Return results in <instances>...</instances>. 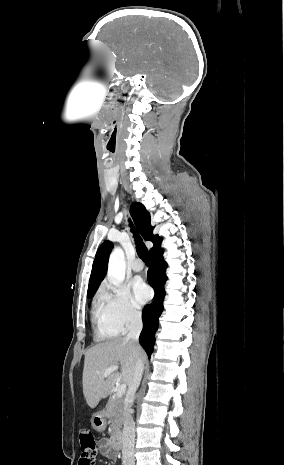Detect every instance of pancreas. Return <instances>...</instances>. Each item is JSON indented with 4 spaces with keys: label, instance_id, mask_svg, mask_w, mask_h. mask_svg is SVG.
<instances>
[{
    "label": "pancreas",
    "instance_id": "1",
    "mask_svg": "<svg viewBox=\"0 0 284 465\" xmlns=\"http://www.w3.org/2000/svg\"><path fill=\"white\" fill-rule=\"evenodd\" d=\"M123 407L124 403L122 399H117V397H112L106 407L105 417L109 419L111 423V441L115 443L117 437H119L121 427L123 425Z\"/></svg>",
    "mask_w": 284,
    "mask_h": 465
}]
</instances>
